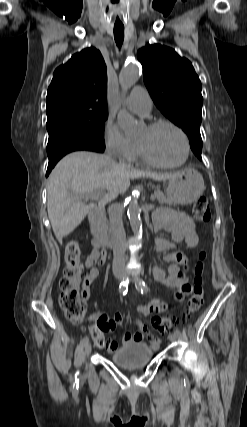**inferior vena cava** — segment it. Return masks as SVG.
<instances>
[{
  "instance_id": "602c4592",
  "label": "inferior vena cava",
  "mask_w": 247,
  "mask_h": 427,
  "mask_svg": "<svg viewBox=\"0 0 247 427\" xmlns=\"http://www.w3.org/2000/svg\"><path fill=\"white\" fill-rule=\"evenodd\" d=\"M110 219V234L113 244V273H119L124 270L126 249H125V231L123 227L122 214L118 204H111L108 207Z\"/></svg>"
}]
</instances>
